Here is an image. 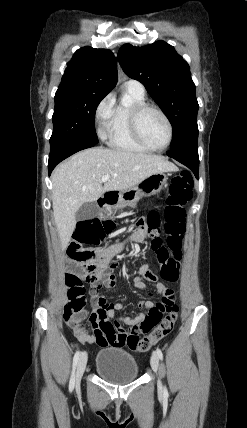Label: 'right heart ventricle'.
Masks as SVG:
<instances>
[{"mask_svg": "<svg viewBox=\"0 0 247 428\" xmlns=\"http://www.w3.org/2000/svg\"><path fill=\"white\" fill-rule=\"evenodd\" d=\"M140 103H145V93L125 88L124 99L114 105V114L108 133L111 147L131 152H146L148 150L134 139L129 127V111L132 106Z\"/></svg>", "mask_w": 247, "mask_h": 428, "instance_id": "obj_1", "label": "right heart ventricle"}]
</instances>
